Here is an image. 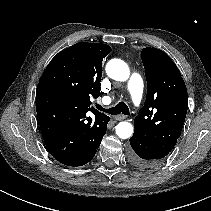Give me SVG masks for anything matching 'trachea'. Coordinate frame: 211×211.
<instances>
[{
    "instance_id": "1",
    "label": "trachea",
    "mask_w": 211,
    "mask_h": 211,
    "mask_svg": "<svg viewBox=\"0 0 211 211\" xmlns=\"http://www.w3.org/2000/svg\"><path fill=\"white\" fill-rule=\"evenodd\" d=\"M96 108L100 111H103L105 113L111 114V115H117V114H124L129 115V108L124 102H119L115 107L111 108H103L101 105L96 104Z\"/></svg>"
}]
</instances>
